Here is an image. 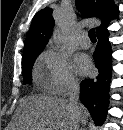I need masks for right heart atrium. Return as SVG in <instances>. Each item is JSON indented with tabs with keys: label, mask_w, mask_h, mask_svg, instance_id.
<instances>
[{
	"label": "right heart atrium",
	"mask_w": 123,
	"mask_h": 130,
	"mask_svg": "<svg viewBox=\"0 0 123 130\" xmlns=\"http://www.w3.org/2000/svg\"><path fill=\"white\" fill-rule=\"evenodd\" d=\"M37 68L52 94L66 93L78 85L74 67L62 52L54 49L45 50L39 57Z\"/></svg>",
	"instance_id": "d8ad5b80"
}]
</instances>
